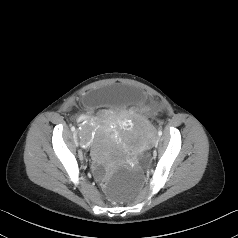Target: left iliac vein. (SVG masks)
<instances>
[{"instance_id":"left-iliac-vein-1","label":"left iliac vein","mask_w":238,"mask_h":238,"mask_svg":"<svg viewBox=\"0 0 238 238\" xmlns=\"http://www.w3.org/2000/svg\"><path fill=\"white\" fill-rule=\"evenodd\" d=\"M155 140H156L155 148H158L159 143H160V138H159V136H156V137H155Z\"/></svg>"}]
</instances>
